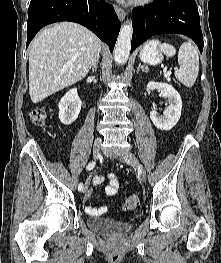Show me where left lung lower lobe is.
<instances>
[{
    "mask_svg": "<svg viewBox=\"0 0 221 263\" xmlns=\"http://www.w3.org/2000/svg\"><path fill=\"white\" fill-rule=\"evenodd\" d=\"M133 36L131 52L154 35L183 34L203 51V35L195 0H153L132 11Z\"/></svg>",
    "mask_w": 221,
    "mask_h": 263,
    "instance_id": "left-lung-lower-lobe-1",
    "label": "left lung lower lobe"
}]
</instances>
